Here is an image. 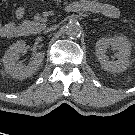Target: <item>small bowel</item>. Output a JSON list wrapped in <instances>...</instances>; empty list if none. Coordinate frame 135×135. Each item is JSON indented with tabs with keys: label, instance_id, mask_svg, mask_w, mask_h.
<instances>
[{
	"label": "small bowel",
	"instance_id": "obj_1",
	"mask_svg": "<svg viewBox=\"0 0 135 135\" xmlns=\"http://www.w3.org/2000/svg\"><path fill=\"white\" fill-rule=\"evenodd\" d=\"M7 1V0H2ZM82 7L91 12H99L108 18H118L120 12L118 8L107 0H89ZM25 14V7L20 5L15 12L16 18L21 19ZM18 27L12 20L5 24H0V38L14 37L18 34Z\"/></svg>",
	"mask_w": 135,
	"mask_h": 135
}]
</instances>
